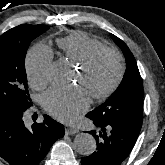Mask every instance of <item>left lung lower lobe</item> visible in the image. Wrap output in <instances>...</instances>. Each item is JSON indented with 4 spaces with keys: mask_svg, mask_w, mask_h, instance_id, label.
I'll return each mask as SVG.
<instances>
[{
    "mask_svg": "<svg viewBox=\"0 0 165 165\" xmlns=\"http://www.w3.org/2000/svg\"><path fill=\"white\" fill-rule=\"evenodd\" d=\"M86 117H88L86 115ZM93 121L97 130H92L97 149L81 159L82 165H120L132 151L140 129L117 122Z\"/></svg>",
    "mask_w": 165,
    "mask_h": 165,
    "instance_id": "1",
    "label": "left lung lower lobe"
}]
</instances>
